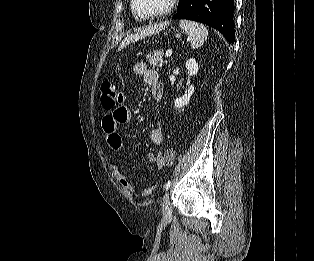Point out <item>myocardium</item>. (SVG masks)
I'll return each instance as SVG.
<instances>
[{"label":"myocardium","mask_w":314,"mask_h":261,"mask_svg":"<svg viewBox=\"0 0 314 261\" xmlns=\"http://www.w3.org/2000/svg\"><path fill=\"white\" fill-rule=\"evenodd\" d=\"M178 0H169L166 7L158 12L152 13V14H142L138 11L136 7V0H131V9L133 13L139 17L140 19H154V18H159L162 16H165L169 14L175 7L176 3Z\"/></svg>","instance_id":"f54148a6"}]
</instances>
